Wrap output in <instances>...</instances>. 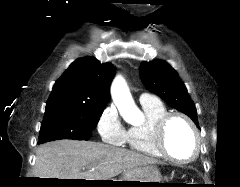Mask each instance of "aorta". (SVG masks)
<instances>
[{
	"mask_svg": "<svg viewBox=\"0 0 240 187\" xmlns=\"http://www.w3.org/2000/svg\"><path fill=\"white\" fill-rule=\"evenodd\" d=\"M111 96L119 112L130 122L141 119L142 114L135 106L125 80L117 76L111 86Z\"/></svg>",
	"mask_w": 240,
	"mask_h": 187,
	"instance_id": "762f6f07",
	"label": "aorta"
}]
</instances>
